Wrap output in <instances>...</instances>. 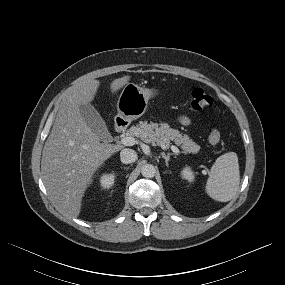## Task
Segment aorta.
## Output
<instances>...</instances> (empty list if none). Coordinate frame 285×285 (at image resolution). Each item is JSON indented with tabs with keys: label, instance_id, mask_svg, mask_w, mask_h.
Wrapping results in <instances>:
<instances>
[{
	"label": "aorta",
	"instance_id": "1",
	"mask_svg": "<svg viewBox=\"0 0 285 285\" xmlns=\"http://www.w3.org/2000/svg\"><path fill=\"white\" fill-rule=\"evenodd\" d=\"M142 176L145 178H153L156 173V169L152 164H146L141 169Z\"/></svg>",
	"mask_w": 285,
	"mask_h": 285
}]
</instances>
